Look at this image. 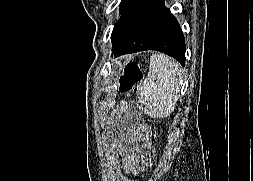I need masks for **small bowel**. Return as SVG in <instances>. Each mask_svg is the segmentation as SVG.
Returning <instances> with one entry per match:
<instances>
[{"label": "small bowel", "instance_id": "c3829d8e", "mask_svg": "<svg viewBox=\"0 0 253 181\" xmlns=\"http://www.w3.org/2000/svg\"><path fill=\"white\" fill-rule=\"evenodd\" d=\"M123 151L125 153L124 169L127 173H133L138 168L148 166L154 156V149L150 146L145 131H142L139 136L129 137Z\"/></svg>", "mask_w": 253, "mask_h": 181}]
</instances>
